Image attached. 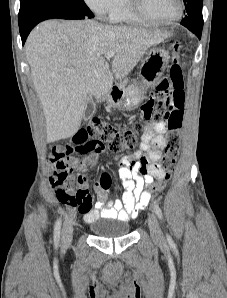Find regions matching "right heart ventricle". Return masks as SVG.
Segmentation results:
<instances>
[{
	"label": "right heart ventricle",
	"mask_w": 227,
	"mask_h": 298,
	"mask_svg": "<svg viewBox=\"0 0 227 298\" xmlns=\"http://www.w3.org/2000/svg\"><path fill=\"white\" fill-rule=\"evenodd\" d=\"M109 20L113 23L142 25L145 22L138 19L129 9L127 0H119L117 7L110 13Z\"/></svg>",
	"instance_id": "right-heart-ventricle-1"
}]
</instances>
